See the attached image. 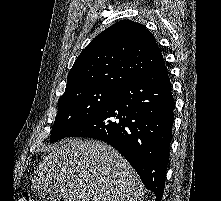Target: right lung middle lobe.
<instances>
[{
	"instance_id": "1",
	"label": "right lung middle lobe",
	"mask_w": 221,
	"mask_h": 201,
	"mask_svg": "<svg viewBox=\"0 0 221 201\" xmlns=\"http://www.w3.org/2000/svg\"><path fill=\"white\" fill-rule=\"evenodd\" d=\"M118 90L93 87L66 93L58 101V113L50 142L68 137L75 129L102 110Z\"/></svg>"
}]
</instances>
